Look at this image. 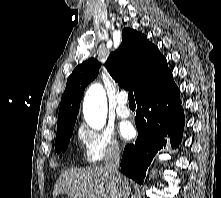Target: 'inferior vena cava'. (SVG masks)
Here are the masks:
<instances>
[{
  "instance_id": "inferior-vena-cava-1",
  "label": "inferior vena cava",
  "mask_w": 221,
  "mask_h": 198,
  "mask_svg": "<svg viewBox=\"0 0 221 198\" xmlns=\"http://www.w3.org/2000/svg\"><path fill=\"white\" fill-rule=\"evenodd\" d=\"M121 150L118 146L112 147L107 153L104 161V169H106L112 178L122 187L125 197L128 198L130 194V187L125 177L119 172Z\"/></svg>"
}]
</instances>
